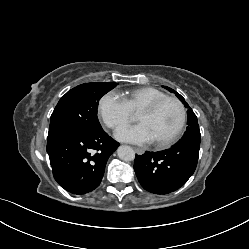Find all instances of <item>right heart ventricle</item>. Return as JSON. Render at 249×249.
Here are the masks:
<instances>
[{"label":"right heart ventricle","instance_id":"obj_1","mask_svg":"<svg viewBox=\"0 0 249 249\" xmlns=\"http://www.w3.org/2000/svg\"><path fill=\"white\" fill-rule=\"evenodd\" d=\"M167 96L163 91L152 87H141L132 89L122 95V100L130 110L136 113L145 105Z\"/></svg>","mask_w":249,"mask_h":249}]
</instances>
